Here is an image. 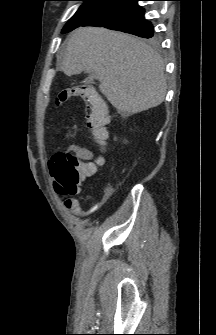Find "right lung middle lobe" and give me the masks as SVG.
Instances as JSON below:
<instances>
[{"instance_id":"1","label":"right lung middle lobe","mask_w":216,"mask_h":335,"mask_svg":"<svg viewBox=\"0 0 216 335\" xmlns=\"http://www.w3.org/2000/svg\"><path fill=\"white\" fill-rule=\"evenodd\" d=\"M84 4L80 6L74 16L64 26L62 33H67L83 25L88 20L101 13L118 0H78Z\"/></svg>"}]
</instances>
